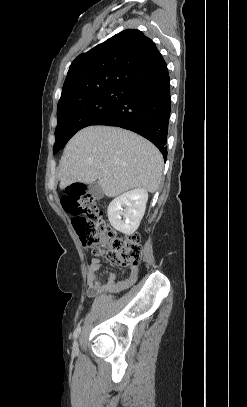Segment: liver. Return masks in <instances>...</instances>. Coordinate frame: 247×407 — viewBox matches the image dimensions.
Masks as SVG:
<instances>
[{
  "mask_svg": "<svg viewBox=\"0 0 247 407\" xmlns=\"http://www.w3.org/2000/svg\"><path fill=\"white\" fill-rule=\"evenodd\" d=\"M163 170L160 151L148 140L118 127L89 126L65 147L59 166L60 189L98 180L108 197L133 188L157 191Z\"/></svg>",
  "mask_w": 247,
  "mask_h": 407,
  "instance_id": "6515ba94",
  "label": "liver"
}]
</instances>
